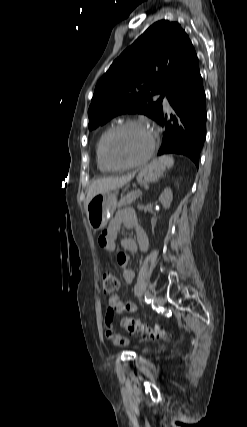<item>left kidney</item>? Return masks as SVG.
Wrapping results in <instances>:
<instances>
[{"label": "left kidney", "mask_w": 247, "mask_h": 427, "mask_svg": "<svg viewBox=\"0 0 247 427\" xmlns=\"http://www.w3.org/2000/svg\"><path fill=\"white\" fill-rule=\"evenodd\" d=\"M172 199H173V194H172V190L169 187L165 188L164 191L159 196V202L162 204V206L165 209L170 208Z\"/></svg>", "instance_id": "1"}]
</instances>
